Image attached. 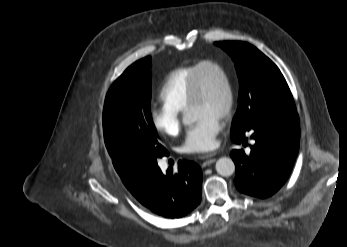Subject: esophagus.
<instances>
[{
	"label": "esophagus",
	"mask_w": 347,
	"mask_h": 247,
	"mask_svg": "<svg viewBox=\"0 0 347 247\" xmlns=\"http://www.w3.org/2000/svg\"><path fill=\"white\" fill-rule=\"evenodd\" d=\"M215 155V152L202 155L201 158L204 159L203 166H209L210 164L214 163L216 161V159L213 158Z\"/></svg>",
	"instance_id": "34e87169"
}]
</instances>
